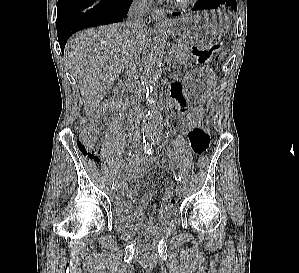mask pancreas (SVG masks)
Masks as SVG:
<instances>
[{"instance_id": "cf45deb5", "label": "pancreas", "mask_w": 299, "mask_h": 273, "mask_svg": "<svg viewBox=\"0 0 299 273\" xmlns=\"http://www.w3.org/2000/svg\"><path fill=\"white\" fill-rule=\"evenodd\" d=\"M175 62L185 64L191 57L190 47L187 43H179L174 50Z\"/></svg>"}]
</instances>
